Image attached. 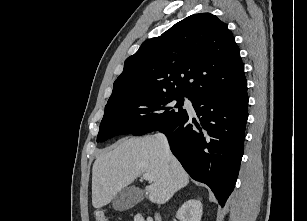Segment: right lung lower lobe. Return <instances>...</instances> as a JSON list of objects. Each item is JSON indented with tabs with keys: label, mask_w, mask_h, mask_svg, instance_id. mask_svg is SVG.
<instances>
[{
	"label": "right lung lower lobe",
	"mask_w": 307,
	"mask_h": 221,
	"mask_svg": "<svg viewBox=\"0 0 307 221\" xmlns=\"http://www.w3.org/2000/svg\"><path fill=\"white\" fill-rule=\"evenodd\" d=\"M200 124L190 115L159 129L187 173L207 184L224 207L233 191L244 149L247 83L236 90L192 100Z\"/></svg>",
	"instance_id": "right-lung-lower-lobe-1"
}]
</instances>
